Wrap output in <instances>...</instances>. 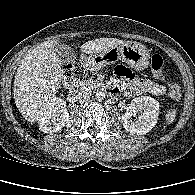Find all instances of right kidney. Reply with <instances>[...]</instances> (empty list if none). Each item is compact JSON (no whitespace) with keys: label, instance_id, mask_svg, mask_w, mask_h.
Here are the masks:
<instances>
[{"label":"right kidney","instance_id":"right-kidney-1","mask_svg":"<svg viewBox=\"0 0 195 195\" xmlns=\"http://www.w3.org/2000/svg\"><path fill=\"white\" fill-rule=\"evenodd\" d=\"M69 119L64 101L54 97L47 102L39 119V129L44 133H54L61 130Z\"/></svg>","mask_w":195,"mask_h":195}]
</instances>
